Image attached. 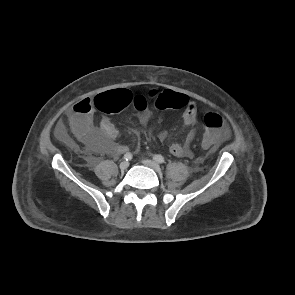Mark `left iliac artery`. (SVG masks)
<instances>
[{
	"instance_id": "44dca946",
	"label": "left iliac artery",
	"mask_w": 295,
	"mask_h": 295,
	"mask_svg": "<svg viewBox=\"0 0 295 295\" xmlns=\"http://www.w3.org/2000/svg\"><path fill=\"white\" fill-rule=\"evenodd\" d=\"M153 159H154L156 162L161 163V164L165 162L164 157L161 156V155H154Z\"/></svg>"
}]
</instances>
